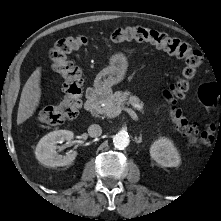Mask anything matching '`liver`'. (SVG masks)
<instances>
[{
  "instance_id": "liver-1",
  "label": "liver",
  "mask_w": 221,
  "mask_h": 221,
  "mask_svg": "<svg viewBox=\"0 0 221 221\" xmlns=\"http://www.w3.org/2000/svg\"><path fill=\"white\" fill-rule=\"evenodd\" d=\"M41 67H38L25 83L18 107L17 124H22L35 112L41 97Z\"/></svg>"
}]
</instances>
